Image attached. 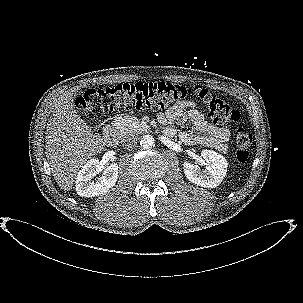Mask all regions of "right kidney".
Returning a JSON list of instances; mask_svg holds the SVG:
<instances>
[{"label":"right kidney","mask_w":303,"mask_h":303,"mask_svg":"<svg viewBox=\"0 0 303 303\" xmlns=\"http://www.w3.org/2000/svg\"><path fill=\"white\" fill-rule=\"evenodd\" d=\"M102 172L98 182H94L93 178ZM118 178V165L112 163L104 167L98 159H90L81 170L76 178V192L80 196L94 197L106 193L112 188Z\"/></svg>","instance_id":"right-kidney-1"}]
</instances>
